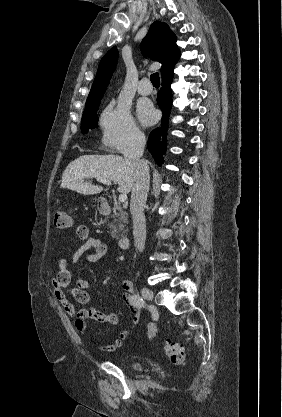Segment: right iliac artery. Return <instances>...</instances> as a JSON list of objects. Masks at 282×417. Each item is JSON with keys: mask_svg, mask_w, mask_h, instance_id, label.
<instances>
[{"mask_svg": "<svg viewBox=\"0 0 282 417\" xmlns=\"http://www.w3.org/2000/svg\"><path fill=\"white\" fill-rule=\"evenodd\" d=\"M132 301L139 308H142V307L146 306L145 301L142 299V297L139 294L133 295L132 296Z\"/></svg>", "mask_w": 282, "mask_h": 417, "instance_id": "82829eb1", "label": "right iliac artery"}]
</instances>
